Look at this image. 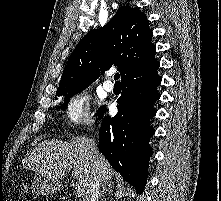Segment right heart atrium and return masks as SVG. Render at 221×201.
I'll return each mask as SVG.
<instances>
[{
    "instance_id": "1",
    "label": "right heart atrium",
    "mask_w": 221,
    "mask_h": 201,
    "mask_svg": "<svg viewBox=\"0 0 221 201\" xmlns=\"http://www.w3.org/2000/svg\"><path fill=\"white\" fill-rule=\"evenodd\" d=\"M67 121L71 125H87L93 121L90 96L80 92L74 94L64 108Z\"/></svg>"
}]
</instances>
